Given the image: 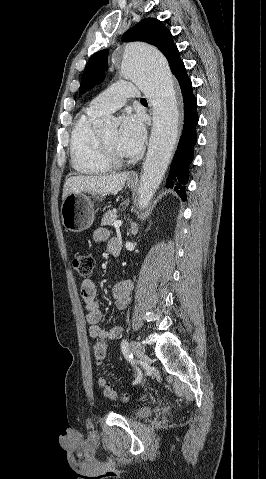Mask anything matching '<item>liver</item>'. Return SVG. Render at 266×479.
<instances>
[{"label": "liver", "instance_id": "liver-1", "mask_svg": "<svg viewBox=\"0 0 266 479\" xmlns=\"http://www.w3.org/2000/svg\"><path fill=\"white\" fill-rule=\"evenodd\" d=\"M129 173L100 176H72L68 178L63 187L62 199L71 193L115 194L125 185Z\"/></svg>", "mask_w": 266, "mask_h": 479}]
</instances>
